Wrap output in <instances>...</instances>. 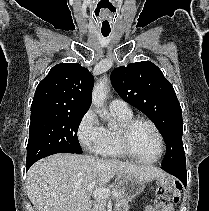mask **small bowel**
<instances>
[{"label": "small bowel", "mask_w": 209, "mask_h": 211, "mask_svg": "<svg viewBox=\"0 0 209 211\" xmlns=\"http://www.w3.org/2000/svg\"><path fill=\"white\" fill-rule=\"evenodd\" d=\"M145 211H174L173 207L169 204L159 203L156 205H149Z\"/></svg>", "instance_id": "small-bowel-1"}]
</instances>
